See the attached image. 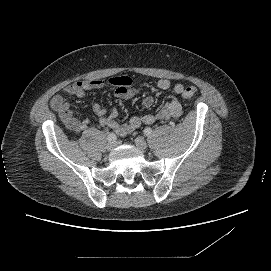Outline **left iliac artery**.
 <instances>
[{
	"mask_svg": "<svg viewBox=\"0 0 271 271\" xmlns=\"http://www.w3.org/2000/svg\"><path fill=\"white\" fill-rule=\"evenodd\" d=\"M151 133H152V129H151L150 127H146V128L144 129V134H145L146 136L151 135Z\"/></svg>",
	"mask_w": 271,
	"mask_h": 271,
	"instance_id": "left-iliac-artery-1",
	"label": "left iliac artery"
}]
</instances>
